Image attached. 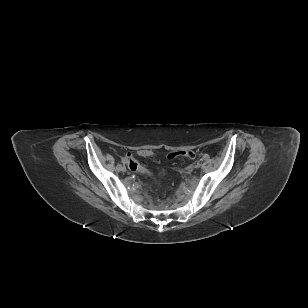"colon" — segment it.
Returning a JSON list of instances; mask_svg holds the SVG:
<instances>
[{"mask_svg":"<svg viewBox=\"0 0 308 308\" xmlns=\"http://www.w3.org/2000/svg\"><path fill=\"white\" fill-rule=\"evenodd\" d=\"M138 155L141 157H151L153 155V152L151 150H140L138 152ZM194 156V153L192 151L186 150V151H177V152H171L168 154L169 159H175L177 157H186V158H192ZM125 162H129L128 166L129 169L133 172L140 173L143 175H147L149 177H152L153 174L141 163L136 161L135 159H132L130 155H127L124 158Z\"/></svg>","mask_w":308,"mask_h":308,"instance_id":"5ec220e1","label":"colon"}]
</instances>
